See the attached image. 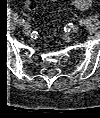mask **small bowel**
Wrapping results in <instances>:
<instances>
[{
  "label": "small bowel",
  "instance_id": "obj_1",
  "mask_svg": "<svg viewBox=\"0 0 100 118\" xmlns=\"http://www.w3.org/2000/svg\"><path fill=\"white\" fill-rule=\"evenodd\" d=\"M56 1V0H52ZM72 4L79 10H86L91 5V0H71Z\"/></svg>",
  "mask_w": 100,
  "mask_h": 118
}]
</instances>
